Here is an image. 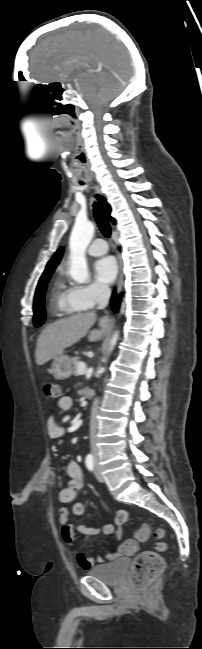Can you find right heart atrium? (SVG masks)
Masks as SVG:
<instances>
[{"instance_id": "obj_1", "label": "right heart atrium", "mask_w": 202, "mask_h": 649, "mask_svg": "<svg viewBox=\"0 0 202 649\" xmlns=\"http://www.w3.org/2000/svg\"><path fill=\"white\" fill-rule=\"evenodd\" d=\"M109 290L106 285L91 283L74 288L72 298L82 309H91L106 299Z\"/></svg>"}]
</instances>
